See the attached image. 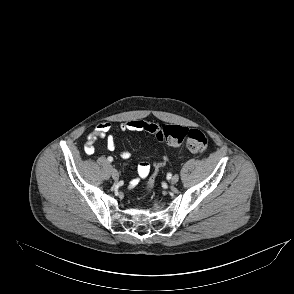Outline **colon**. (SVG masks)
<instances>
[{
	"mask_svg": "<svg viewBox=\"0 0 294 294\" xmlns=\"http://www.w3.org/2000/svg\"><path fill=\"white\" fill-rule=\"evenodd\" d=\"M147 131L153 133L159 141H166L173 147L185 146L193 153H204L208 148L206 135L198 129H189L179 125H156L148 123ZM159 173V164H154L148 189H151Z\"/></svg>",
	"mask_w": 294,
	"mask_h": 294,
	"instance_id": "5ec220e1",
	"label": "colon"
}]
</instances>
